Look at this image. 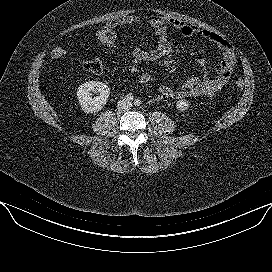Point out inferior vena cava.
Listing matches in <instances>:
<instances>
[{"mask_svg":"<svg viewBox=\"0 0 272 272\" xmlns=\"http://www.w3.org/2000/svg\"><path fill=\"white\" fill-rule=\"evenodd\" d=\"M132 107V103L128 99H121L117 102V108L121 111H129Z\"/></svg>","mask_w":272,"mask_h":272,"instance_id":"obj_1","label":"inferior vena cava"}]
</instances>
